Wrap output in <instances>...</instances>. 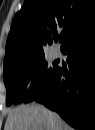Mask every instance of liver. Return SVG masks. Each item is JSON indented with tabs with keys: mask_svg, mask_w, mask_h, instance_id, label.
Masks as SVG:
<instances>
[{
	"mask_svg": "<svg viewBox=\"0 0 95 130\" xmlns=\"http://www.w3.org/2000/svg\"><path fill=\"white\" fill-rule=\"evenodd\" d=\"M4 130H72L57 114L40 104L10 110Z\"/></svg>",
	"mask_w": 95,
	"mask_h": 130,
	"instance_id": "1",
	"label": "liver"
}]
</instances>
